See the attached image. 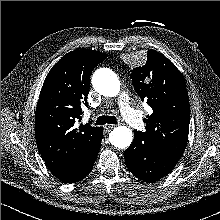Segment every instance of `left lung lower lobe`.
<instances>
[{
    "mask_svg": "<svg viewBox=\"0 0 220 220\" xmlns=\"http://www.w3.org/2000/svg\"><path fill=\"white\" fill-rule=\"evenodd\" d=\"M134 134L132 145L124 152L128 170L140 180L151 183L169 174L180 157L147 142L138 131Z\"/></svg>",
    "mask_w": 220,
    "mask_h": 220,
    "instance_id": "left-lung-lower-lobe-1",
    "label": "left lung lower lobe"
}]
</instances>
